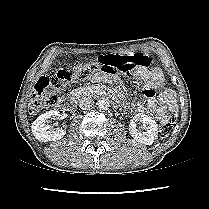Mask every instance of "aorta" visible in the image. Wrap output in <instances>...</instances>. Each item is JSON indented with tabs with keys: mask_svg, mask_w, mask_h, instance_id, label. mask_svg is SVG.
Masks as SVG:
<instances>
[{
	"mask_svg": "<svg viewBox=\"0 0 209 209\" xmlns=\"http://www.w3.org/2000/svg\"><path fill=\"white\" fill-rule=\"evenodd\" d=\"M98 108L100 110H108L110 108V103L107 98H101L97 101Z\"/></svg>",
	"mask_w": 209,
	"mask_h": 209,
	"instance_id": "aorta-1",
	"label": "aorta"
}]
</instances>
